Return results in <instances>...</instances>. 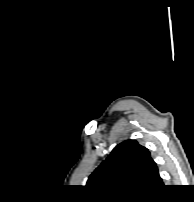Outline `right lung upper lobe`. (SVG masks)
<instances>
[{
  "label": "right lung upper lobe",
  "instance_id": "obj_1",
  "mask_svg": "<svg viewBox=\"0 0 194 202\" xmlns=\"http://www.w3.org/2000/svg\"><path fill=\"white\" fill-rule=\"evenodd\" d=\"M87 186L109 196H142L163 187V181L148 149L126 140L90 175Z\"/></svg>",
  "mask_w": 194,
  "mask_h": 202
}]
</instances>
